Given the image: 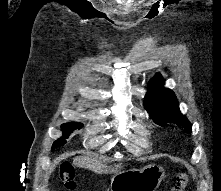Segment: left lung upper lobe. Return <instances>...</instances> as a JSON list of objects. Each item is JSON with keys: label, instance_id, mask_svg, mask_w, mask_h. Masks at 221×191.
I'll return each instance as SVG.
<instances>
[{"label": "left lung upper lobe", "instance_id": "5c2ea615", "mask_svg": "<svg viewBox=\"0 0 221 191\" xmlns=\"http://www.w3.org/2000/svg\"><path fill=\"white\" fill-rule=\"evenodd\" d=\"M164 80L158 73L148 84V92L144 98V107L159 123H178L191 131V123L179 110V104L173 91L164 88Z\"/></svg>", "mask_w": 221, "mask_h": 191}]
</instances>
